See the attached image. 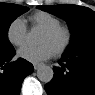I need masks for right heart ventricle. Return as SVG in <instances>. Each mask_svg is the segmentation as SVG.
<instances>
[{
    "mask_svg": "<svg viewBox=\"0 0 95 95\" xmlns=\"http://www.w3.org/2000/svg\"><path fill=\"white\" fill-rule=\"evenodd\" d=\"M30 20L35 27H40L42 30L53 28L61 25L60 20L45 11H37L31 17Z\"/></svg>",
    "mask_w": 95,
    "mask_h": 95,
    "instance_id": "e07e8e85",
    "label": "right heart ventricle"
}]
</instances>
